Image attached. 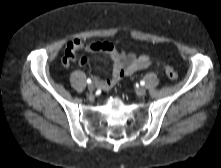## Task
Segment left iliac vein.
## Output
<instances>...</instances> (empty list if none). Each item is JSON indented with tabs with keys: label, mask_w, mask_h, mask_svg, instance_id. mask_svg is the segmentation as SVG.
Listing matches in <instances>:
<instances>
[{
	"label": "left iliac vein",
	"mask_w": 221,
	"mask_h": 168,
	"mask_svg": "<svg viewBox=\"0 0 221 168\" xmlns=\"http://www.w3.org/2000/svg\"><path fill=\"white\" fill-rule=\"evenodd\" d=\"M136 94L139 96H144L146 94V89L143 87H140L136 90Z\"/></svg>",
	"instance_id": "left-iliac-vein-1"
}]
</instances>
